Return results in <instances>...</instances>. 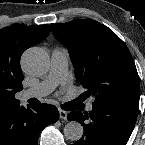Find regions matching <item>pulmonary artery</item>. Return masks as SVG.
Masks as SVG:
<instances>
[{"mask_svg":"<svg viewBox=\"0 0 145 145\" xmlns=\"http://www.w3.org/2000/svg\"><path fill=\"white\" fill-rule=\"evenodd\" d=\"M68 54L65 49L54 48L51 52V64L47 77L35 86L22 93L24 99L31 97L41 98L51 93L59 84L67 79ZM93 109L92 102L87 105V110Z\"/></svg>","mask_w":145,"mask_h":145,"instance_id":"e3ab8cb5","label":"pulmonary artery"}]
</instances>
